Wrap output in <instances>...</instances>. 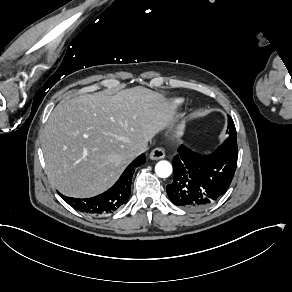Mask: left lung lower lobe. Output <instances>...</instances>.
Masks as SVG:
<instances>
[{
    "instance_id": "obj_1",
    "label": "left lung lower lobe",
    "mask_w": 292,
    "mask_h": 292,
    "mask_svg": "<svg viewBox=\"0 0 292 292\" xmlns=\"http://www.w3.org/2000/svg\"><path fill=\"white\" fill-rule=\"evenodd\" d=\"M238 149L221 145L201 155L184 145L173 158V182L167 185L170 200L187 210L214 204L229 188L237 166Z\"/></svg>"
}]
</instances>
